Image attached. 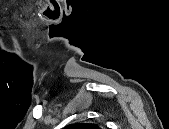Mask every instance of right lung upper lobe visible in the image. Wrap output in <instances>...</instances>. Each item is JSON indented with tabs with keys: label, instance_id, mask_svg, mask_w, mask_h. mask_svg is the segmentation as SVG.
I'll return each instance as SVG.
<instances>
[{
	"label": "right lung upper lobe",
	"instance_id": "1",
	"mask_svg": "<svg viewBox=\"0 0 169 129\" xmlns=\"http://www.w3.org/2000/svg\"><path fill=\"white\" fill-rule=\"evenodd\" d=\"M66 128L69 129H84V128H96V125L94 124H72V125H68Z\"/></svg>",
	"mask_w": 169,
	"mask_h": 129
}]
</instances>
